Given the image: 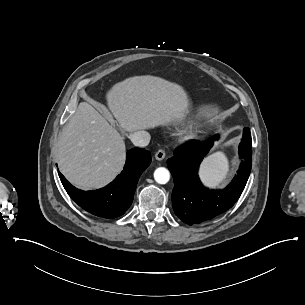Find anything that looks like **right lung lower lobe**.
<instances>
[{
	"label": "right lung lower lobe",
	"instance_id": "right-lung-lower-lobe-1",
	"mask_svg": "<svg viewBox=\"0 0 305 305\" xmlns=\"http://www.w3.org/2000/svg\"><path fill=\"white\" fill-rule=\"evenodd\" d=\"M126 158L121 174L106 187L94 191L77 189L61 173L58 174L68 195L81 208L99 217L115 218L130 207L138 179L151 163V155L144 149H131Z\"/></svg>",
	"mask_w": 305,
	"mask_h": 305
}]
</instances>
